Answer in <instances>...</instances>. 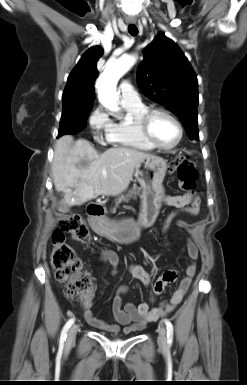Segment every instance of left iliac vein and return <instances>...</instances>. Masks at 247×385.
<instances>
[{
	"mask_svg": "<svg viewBox=\"0 0 247 385\" xmlns=\"http://www.w3.org/2000/svg\"><path fill=\"white\" fill-rule=\"evenodd\" d=\"M166 328L163 325L158 327V345L162 348L166 347L167 337H166Z\"/></svg>",
	"mask_w": 247,
	"mask_h": 385,
	"instance_id": "obj_1",
	"label": "left iliac vein"
}]
</instances>
